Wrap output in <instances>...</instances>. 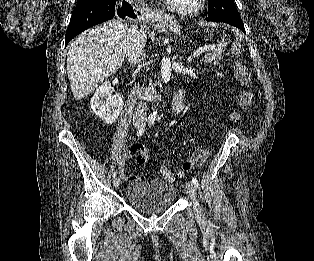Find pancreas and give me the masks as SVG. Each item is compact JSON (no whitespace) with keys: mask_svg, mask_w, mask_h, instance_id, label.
<instances>
[{"mask_svg":"<svg viewBox=\"0 0 314 261\" xmlns=\"http://www.w3.org/2000/svg\"><path fill=\"white\" fill-rule=\"evenodd\" d=\"M225 47L226 44L224 42H218L214 49L204 55L203 63L210 64L213 62L214 64H218V60L222 58L221 53Z\"/></svg>","mask_w":314,"mask_h":261,"instance_id":"obj_1","label":"pancreas"}]
</instances>
